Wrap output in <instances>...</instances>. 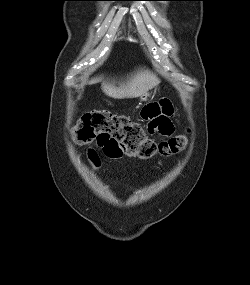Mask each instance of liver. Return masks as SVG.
Wrapping results in <instances>:
<instances>
[{"instance_id":"6515ba94","label":"liver","mask_w":250,"mask_h":285,"mask_svg":"<svg viewBox=\"0 0 250 285\" xmlns=\"http://www.w3.org/2000/svg\"><path fill=\"white\" fill-rule=\"evenodd\" d=\"M102 81V78H93L89 84H95ZM158 77L149 70H139L126 81L119 84V87L114 85V82L103 81V92L114 99L134 98L140 97L148 93L159 84Z\"/></svg>"}]
</instances>
